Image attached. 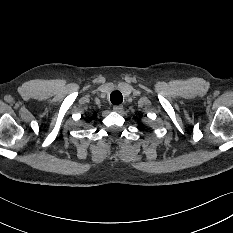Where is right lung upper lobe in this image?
I'll return each mask as SVG.
<instances>
[{
    "instance_id": "obj_1",
    "label": "right lung upper lobe",
    "mask_w": 233,
    "mask_h": 233,
    "mask_svg": "<svg viewBox=\"0 0 233 233\" xmlns=\"http://www.w3.org/2000/svg\"><path fill=\"white\" fill-rule=\"evenodd\" d=\"M96 115H97V114H96V113H94V114H93V117H96Z\"/></svg>"
}]
</instances>
